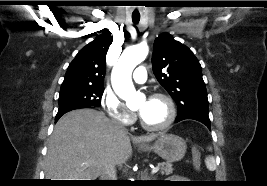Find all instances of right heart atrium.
<instances>
[{"mask_svg":"<svg viewBox=\"0 0 267 186\" xmlns=\"http://www.w3.org/2000/svg\"><path fill=\"white\" fill-rule=\"evenodd\" d=\"M101 105L109 117L125 126L131 125L135 119L134 114L124 105L117 94L110 88H105L101 96Z\"/></svg>","mask_w":267,"mask_h":186,"instance_id":"right-heart-atrium-1","label":"right heart atrium"}]
</instances>
